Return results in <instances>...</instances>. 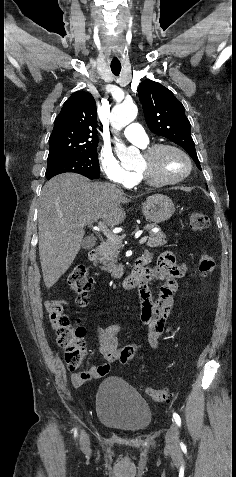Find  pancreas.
<instances>
[{
	"label": "pancreas",
	"mask_w": 236,
	"mask_h": 477,
	"mask_svg": "<svg viewBox=\"0 0 236 477\" xmlns=\"http://www.w3.org/2000/svg\"><path fill=\"white\" fill-rule=\"evenodd\" d=\"M123 238L124 235L119 237L120 242H113L110 240L103 242L99 247V258L95 262V264L100 262L103 265L102 269L111 273V276L114 278H120L123 276V267L120 264H117V258L120 252L119 250L123 247L121 241ZM166 243V236L162 232L149 233L147 246L159 247L165 245Z\"/></svg>",
	"instance_id": "cf45deb5"
}]
</instances>
